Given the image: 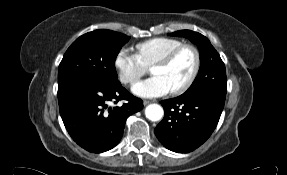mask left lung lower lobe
Instances as JSON below:
<instances>
[{
	"label": "left lung lower lobe",
	"instance_id": "0a47b994",
	"mask_svg": "<svg viewBox=\"0 0 287 175\" xmlns=\"http://www.w3.org/2000/svg\"><path fill=\"white\" fill-rule=\"evenodd\" d=\"M164 118L156 126L155 135L167 149L188 153L202 145L220 119L225 98L214 94H182L163 100Z\"/></svg>",
	"mask_w": 287,
	"mask_h": 175
}]
</instances>
